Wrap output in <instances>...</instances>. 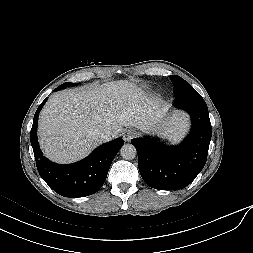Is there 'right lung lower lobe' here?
Returning <instances> with one entry per match:
<instances>
[{
	"label": "right lung lower lobe",
	"mask_w": 253,
	"mask_h": 253,
	"mask_svg": "<svg viewBox=\"0 0 253 253\" xmlns=\"http://www.w3.org/2000/svg\"><path fill=\"white\" fill-rule=\"evenodd\" d=\"M60 90L59 87L55 91ZM46 98L38 107L30 132L36 166L43 180L58 194L64 197H84L96 193L104 184L110 165L123 145L122 138L102 144L85 159L59 165L43 156L37 140L39 112L46 103Z\"/></svg>",
	"instance_id": "obj_1"
}]
</instances>
